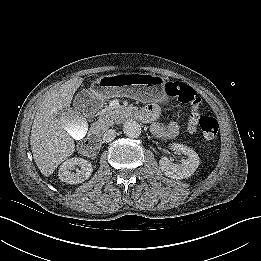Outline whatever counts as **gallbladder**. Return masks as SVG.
Instances as JSON below:
<instances>
[{
  "mask_svg": "<svg viewBox=\"0 0 261 261\" xmlns=\"http://www.w3.org/2000/svg\"><path fill=\"white\" fill-rule=\"evenodd\" d=\"M60 121L65 131L77 141L82 140L89 130L87 120L76 109H64L60 114Z\"/></svg>",
  "mask_w": 261,
  "mask_h": 261,
  "instance_id": "bac80fb5",
  "label": "gallbladder"
}]
</instances>
